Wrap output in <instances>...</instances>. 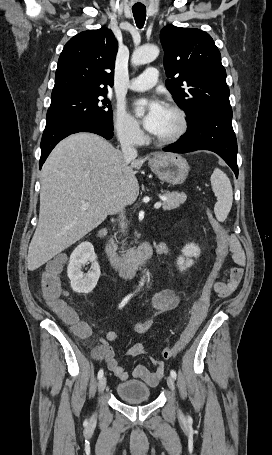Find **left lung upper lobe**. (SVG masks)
<instances>
[{"label": "left lung upper lobe", "mask_w": 272, "mask_h": 455, "mask_svg": "<svg viewBox=\"0 0 272 455\" xmlns=\"http://www.w3.org/2000/svg\"><path fill=\"white\" fill-rule=\"evenodd\" d=\"M160 40L170 78L165 84L185 111L187 123L210 111L231 109L221 54L208 33L167 25Z\"/></svg>", "instance_id": "5c2ea615"}]
</instances>
